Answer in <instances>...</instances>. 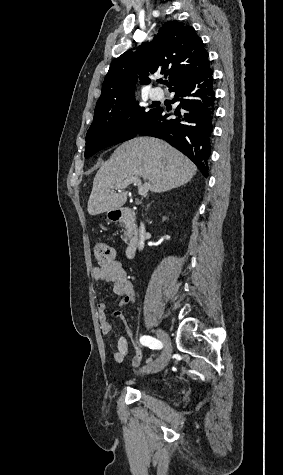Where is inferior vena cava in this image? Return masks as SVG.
<instances>
[{"instance_id":"obj_1","label":"inferior vena cava","mask_w":283,"mask_h":475,"mask_svg":"<svg viewBox=\"0 0 283 475\" xmlns=\"http://www.w3.org/2000/svg\"><path fill=\"white\" fill-rule=\"evenodd\" d=\"M139 238H140L139 241H144V239H145V226H144V224H142V222H141L140 228H139Z\"/></svg>"}]
</instances>
